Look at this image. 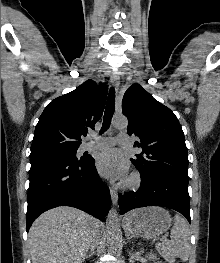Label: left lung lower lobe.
<instances>
[{
  "label": "left lung lower lobe",
  "instance_id": "0a47b994",
  "mask_svg": "<svg viewBox=\"0 0 220 263\" xmlns=\"http://www.w3.org/2000/svg\"><path fill=\"white\" fill-rule=\"evenodd\" d=\"M136 192L119 195L120 215L139 207L163 206L180 212L191 222L188 181L168 173L141 176Z\"/></svg>",
  "mask_w": 220,
  "mask_h": 263
}]
</instances>
